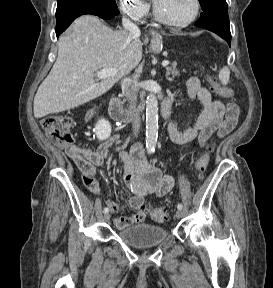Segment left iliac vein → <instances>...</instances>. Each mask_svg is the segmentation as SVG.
Returning <instances> with one entry per match:
<instances>
[{"label": "left iliac vein", "mask_w": 273, "mask_h": 288, "mask_svg": "<svg viewBox=\"0 0 273 288\" xmlns=\"http://www.w3.org/2000/svg\"><path fill=\"white\" fill-rule=\"evenodd\" d=\"M175 216H176L177 219L182 218V217H183V212H182V210L178 209V210L176 211V213H175Z\"/></svg>", "instance_id": "1"}]
</instances>
